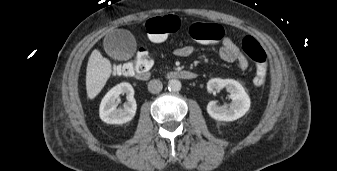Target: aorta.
<instances>
[{
	"label": "aorta",
	"mask_w": 337,
	"mask_h": 171,
	"mask_svg": "<svg viewBox=\"0 0 337 171\" xmlns=\"http://www.w3.org/2000/svg\"><path fill=\"white\" fill-rule=\"evenodd\" d=\"M181 82L178 79H171L168 82V89L172 92H178L181 90Z\"/></svg>",
	"instance_id": "obj_1"
}]
</instances>
